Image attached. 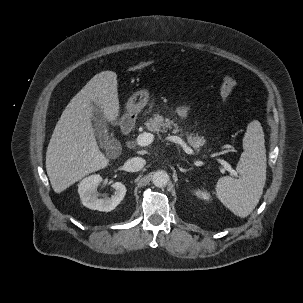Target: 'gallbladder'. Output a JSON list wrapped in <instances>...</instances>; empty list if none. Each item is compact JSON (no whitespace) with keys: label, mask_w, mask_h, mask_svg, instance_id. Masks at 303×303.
Instances as JSON below:
<instances>
[{"label":"gallbladder","mask_w":303,"mask_h":303,"mask_svg":"<svg viewBox=\"0 0 303 303\" xmlns=\"http://www.w3.org/2000/svg\"><path fill=\"white\" fill-rule=\"evenodd\" d=\"M93 125L95 127L97 136L99 137L100 141H104L105 139L110 138V134L107 130V122L103 118V114L98 106L95 105L94 109V122Z\"/></svg>","instance_id":"gallbladder-1"}]
</instances>
